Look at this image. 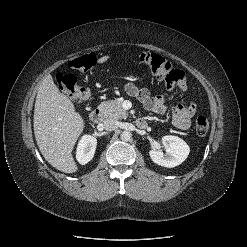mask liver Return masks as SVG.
Instances as JSON below:
<instances>
[{
    "instance_id": "liver-1",
    "label": "liver",
    "mask_w": 247,
    "mask_h": 247,
    "mask_svg": "<svg viewBox=\"0 0 247 247\" xmlns=\"http://www.w3.org/2000/svg\"><path fill=\"white\" fill-rule=\"evenodd\" d=\"M109 58L103 56L97 62L101 64ZM33 122L36 142L45 160L61 172H76L78 167L72 151L85 122L72 101L59 91L50 74L40 84Z\"/></svg>"
}]
</instances>
